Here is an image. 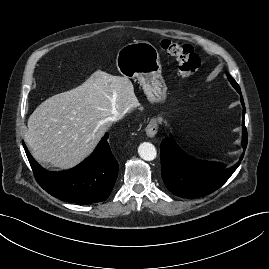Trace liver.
<instances>
[{"label":"liver","mask_w":269,"mask_h":269,"mask_svg":"<svg viewBox=\"0 0 269 269\" xmlns=\"http://www.w3.org/2000/svg\"><path fill=\"white\" fill-rule=\"evenodd\" d=\"M139 105L128 77L99 70L42 102L30 115L24 138L35 159L69 169L92 153L111 125L109 117Z\"/></svg>","instance_id":"liver-1"}]
</instances>
